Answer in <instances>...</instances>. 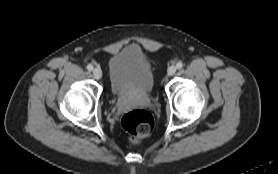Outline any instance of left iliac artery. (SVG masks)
Wrapping results in <instances>:
<instances>
[{"label": "left iliac artery", "mask_w": 278, "mask_h": 174, "mask_svg": "<svg viewBox=\"0 0 278 174\" xmlns=\"http://www.w3.org/2000/svg\"><path fill=\"white\" fill-rule=\"evenodd\" d=\"M177 69H181L183 67V63L182 62H178L176 64Z\"/></svg>", "instance_id": "44dca946"}]
</instances>
